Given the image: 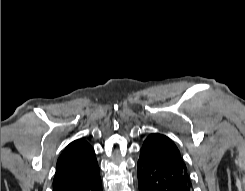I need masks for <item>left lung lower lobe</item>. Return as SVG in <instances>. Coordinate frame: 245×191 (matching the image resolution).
Masks as SVG:
<instances>
[{"mask_svg": "<svg viewBox=\"0 0 245 191\" xmlns=\"http://www.w3.org/2000/svg\"><path fill=\"white\" fill-rule=\"evenodd\" d=\"M137 170L139 191H193L187 170L142 148Z\"/></svg>", "mask_w": 245, "mask_h": 191, "instance_id": "0a47b994", "label": "left lung lower lobe"}]
</instances>
